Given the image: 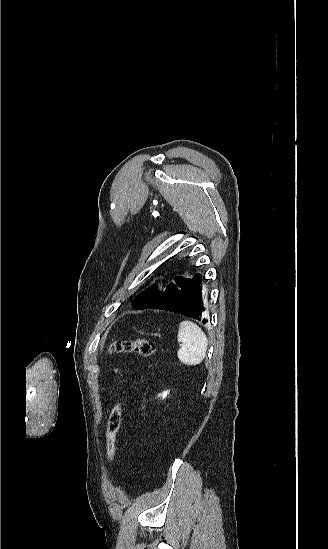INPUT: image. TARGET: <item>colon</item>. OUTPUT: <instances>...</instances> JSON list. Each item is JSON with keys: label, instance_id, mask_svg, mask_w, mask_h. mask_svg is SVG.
<instances>
[{"label": "colon", "instance_id": "obj_1", "mask_svg": "<svg viewBox=\"0 0 328 549\" xmlns=\"http://www.w3.org/2000/svg\"><path fill=\"white\" fill-rule=\"evenodd\" d=\"M111 353H135L144 357H153L157 353L156 345L147 339H134L125 341H115L110 345ZM123 404L118 402L111 410L106 435L107 458L110 463L115 461L116 440L122 419Z\"/></svg>", "mask_w": 328, "mask_h": 549}]
</instances>
